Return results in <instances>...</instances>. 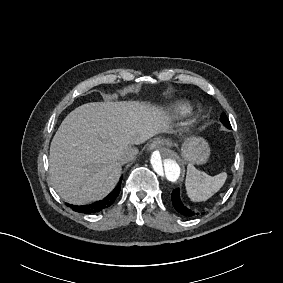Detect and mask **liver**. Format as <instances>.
I'll return each mask as SVG.
<instances>
[{
  "label": "liver",
  "mask_w": 283,
  "mask_h": 283,
  "mask_svg": "<svg viewBox=\"0 0 283 283\" xmlns=\"http://www.w3.org/2000/svg\"><path fill=\"white\" fill-rule=\"evenodd\" d=\"M169 116L145 103H88L62 122L50 146V173L56 192L72 204L106 196L116 185L128 147L167 131Z\"/></svg>",
  "instance_id": "liver-1"
}]
</instances>
